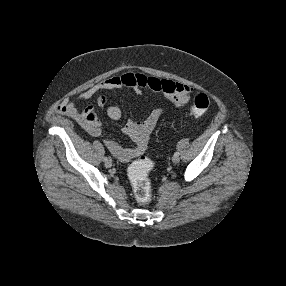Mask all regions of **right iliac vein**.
Returning <instances> with one entry per match:
<instances>
[{"label": "right iliac vein", "mask_w": 286, "mask_h": 286, "mask_svg": "<svg viewBox=\"0 0 286 286\" xmlns=\"http://www.w3.org/2000/svg\"><path fill=\"white\" fill-rule=\"evenodd\" d=\"M112 166V161L108 160L105 162V167L110 168Z\"/></svg>", "instance_id": "right-iliac-vein-1"}]
</instances>
